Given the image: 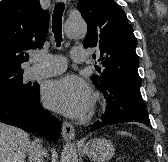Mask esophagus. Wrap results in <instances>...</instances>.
I'll list each match as a JSON object with an SVG mask.
<instances>
[{
    "mask_svg": "<svg viewBox=\"0 0 168 162\" xmlns=\"http://www.w3.org/2000/svg\"><path fill=\"white\" fill-rule=\"evenodd\" d=\"M61 2H65L66 0H58ZM75 131L74 127L70 122L64 121L62 125V136L64 140H72L74 138Z\"/></svg>",
    "mask_w": 168,
    "mask_h": 162,
    "instance_id": "esophagus-1",
    "label": "esophagus"
}]
</instances>
